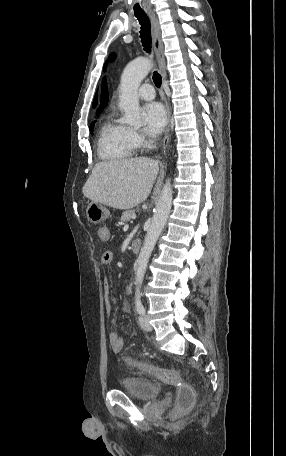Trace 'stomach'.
<instances>
[{
	"label": "stomach",
	"instance_id": "stomach-1",
	"mask_svg": "<svg viewBox=\"0 0 286 456\" xmlns=\"http://www.w3.org/2000/svg\"><path fill=\"white\" fill-rule=\"evenodd\" d=\"M88 221L98 224L106 220L110 216L109 210L100 203L92 202L86 209Z\"/></svg>",
	"mask_w": 286,
	"mask_h": 456
}]
</instances>
